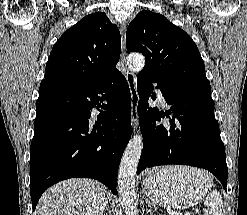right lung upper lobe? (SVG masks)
<instances>
[{
	"label": "right lung upper lobe",
	"instance_id": "1",
	"mask_svg": "<svg viewBox=\"0 0 247 215\" xmlns=\"http://www.w3.org/2000/svg\"><path fill=\"white\" fill-rule=\"evenodd\" d=\"M121 36L103 12H95L68 29L55 43L44 80L84 87L116 70Z\"/></svg>",
	"mask_w": 247,
	"mask_h": 215
}]
</instances>
